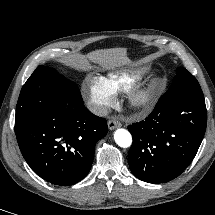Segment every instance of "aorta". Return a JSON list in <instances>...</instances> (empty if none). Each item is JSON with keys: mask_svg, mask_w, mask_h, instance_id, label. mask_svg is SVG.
Here are the masks:
<instances>
[{"mask_svg": "<svg viewBox=\"0 0 215 215\" xmlns=\"http://www.w3.org/2000/svg\"><path fill=\"white\" fill-rule=\"evenodd\" d=\"M115 142L123 148H127L132 144L131 134L126 129H117L114 133Z\"/></svg>", "mask_w": 215, "mask_h": 215, "instance_id": "aorta-1", "label": "aorta"}]
</instances>
